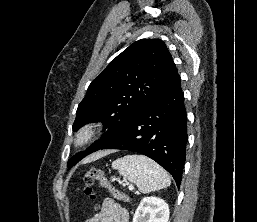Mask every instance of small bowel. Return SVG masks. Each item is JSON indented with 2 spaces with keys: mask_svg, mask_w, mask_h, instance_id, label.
I'll list each match as a JSON object with an SVG mask.
<instances>
[{
  "mask_svg": "<svg viewBox=\"0 0 257 222\" xmlns=\"http://www.w3.org/2000/svg\"><path fill=\"white\" fill-rule=\"evenodd\" d=\"M85 222H129V214L114 199L106 198L100 212Z\"/></svg>",
  "mask_w": 257,
  "mask_h": 222,
  "instance_id": "c3829d8e",
  "label": "small bowel"
}]
</instances>
